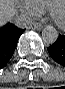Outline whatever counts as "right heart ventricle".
I'll use <instances>...</instances> for the list:
<instances>
[{"instance_id": "obj_1", "label": "right heart ventricle", "mask_w": 65, "mask_h": 89, "mask_svg": "<svg viewBox=\"0 0 65 89\" xmlns=\"http://www.w3.org/2000/svg\"><path fill=\"white\" fill-rule=\"evenodd\" d=\"M59 0H28L27 5L34 14L45 13L51 6L58 3Z\"/></svg>"}]
</instances>
